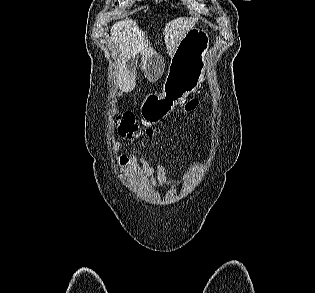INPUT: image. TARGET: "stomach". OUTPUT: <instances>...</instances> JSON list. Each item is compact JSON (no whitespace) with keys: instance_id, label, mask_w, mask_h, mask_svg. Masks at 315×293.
<instances>
[{"instance_id":"0dacf381","label":"stomach","mask_w":315,"mask_h":293,"mask_svg":"<svg viewBox=\"0 0 315 293\" xmlns=\"http://www.w3.org/2000/svg\"><path fill=\"white\" fill-rule=\"evenodd\" d=\"M209 48L205 30L193 27L186 32L171 57L162 93L150 94L143 103L141 114L146 121L159 122L196 91L205 79Z\"/></svg>"}]
</instances>
